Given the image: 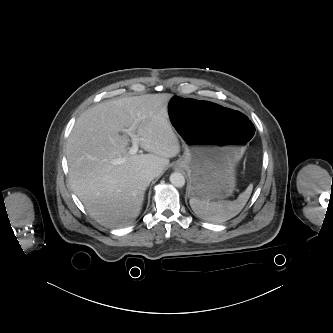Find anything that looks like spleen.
Masks as SVG:
<instances>
[{
  "mask_svg": "<svg viewBox=\"0 0 333 333\" xmlns=\"http://www.w3.org/2000/svg\"><path fill=\"white\" fill-rule=\"evenodd\" d=\"M252 189L253 185L250 184L247 189L239 195L238 199L234 201L219 200L209 202L202 199L191 198L189 202L194 213L203 220L221 223L240 213L247 203Z\"/></svg>",
  "mask_w": 333,
  "mask_h": 333,
  "instance_id": "3e777b00",
  "label": "spleen"
}]
</instances>
